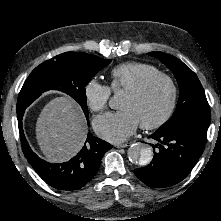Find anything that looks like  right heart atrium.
Returning <instances> with one entry per match:
<instances>
[{
	"mask_svg": "<svg viewBox=\"0 0 221 221\" xmlns=\"http://www.w3.org/2000/svg\"><path fill=\"white\" fill-rule=\"evenodd\" d=\"M110 94V88L95 78L90 79L85 84L84 97L86 103L96 113H102L106 110Z\"/></svg>",
	"mask_w": 221,
	"mask_h": 221,
	"instance_id": "right-heart-atrium-1",
	"label": "right heart atrium"
}]
</instances>
